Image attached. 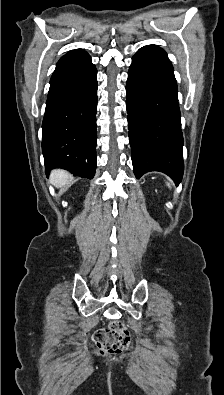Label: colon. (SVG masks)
<instances>
[{"label": "colon", "mask_w": 224, "mask_h": 395, "mask_svg": "<svg viewBox=\"0 0 224 395\" xmlns=\"http://www.w3.org/2000/svg\"><path fill=\"white\" fill-rule=\"evenodd\" d=\"M94 344L101 355L119 354L130 345L129 331L120 322L98 329L93 335Z\"/></svg>", "instance_id": "5ec220e1"}]
</instances>
